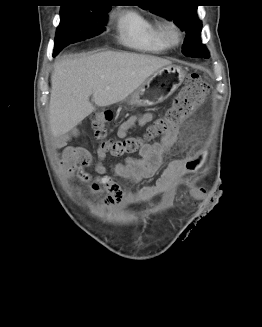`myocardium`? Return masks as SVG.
Instances as JSON below:
<instances>
[{"mask_svg":"<svg viewBox=\"0 0 262 327\" xmlns=\"http://www.w3.org/2000/svg\"><path fill=\"white\" fill-rule=\"evenodd\" d=\"M163 38L170 46H177L183 38L181 27L174 21H166L160 25Z\"/></svg>","mask_w":262,"mask_h":327,"instance_id":"f54148a6","label":"myocardium"}]
</instances>
